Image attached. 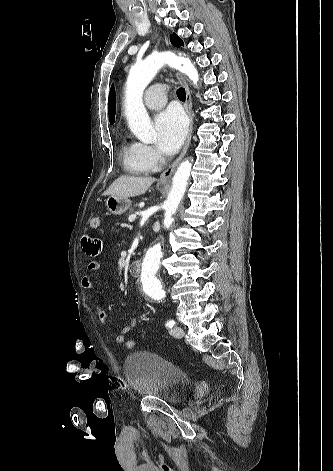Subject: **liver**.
<instances>
[{"label": "liver", "instance_id": "6515ba94", "mask_svg": "<svg viewBox=\"0 0 333 471\" xmlns=\"http://www.w3.org/2000/svg\"><path fill=\"white\" fill-rule=\"evenodd\" d=\"M154 182L153 177L120 176L109 186L104 195L127 198L142 195Z\"/></svg>", "mask_w": 333, "mask_h": 471}]
</instances>
